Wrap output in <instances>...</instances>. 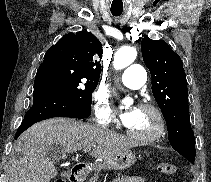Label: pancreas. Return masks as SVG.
Returning <instances> with one entry per match:
<instances>
[{
  "instance_id": "cf45deb5",
  "label": "pancreas",
  "mask_w": 211,
  "mask_h": 182,
  "mask_svg": "<svg viewBox=\"0 0 211 182\" xmlns=\"http://www.w3.org/2000/svg\"><path fill=\"white\" fill-rule=\"evenodd\" d=\"M98 179H99L98 174H95L94 176H92V177L89 179V182H97Z\"/></svg>"
}]
</instances>
